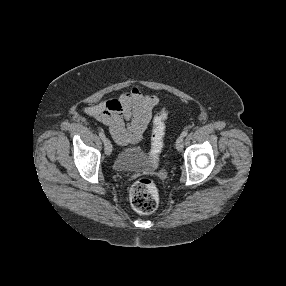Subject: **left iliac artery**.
<instances>
[{"mask_svg": "<svg viewBox=\"0 0 286 286\" xmlns=\"http://www.w3.org/2000/svg\"><path fill=\"white\" fill-rule=\"evenodd\" d=\"M187 135H188V131H184V132H182V134H181L182 137H186Z\"/></svg>", "mask_w": 286, "mask_h": 286, "instance_id": "44dca946", "label": "left iliac artery"}]
</instances>
